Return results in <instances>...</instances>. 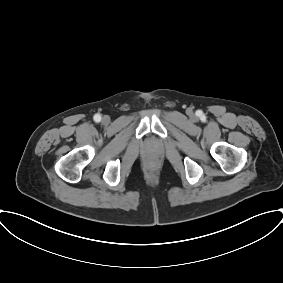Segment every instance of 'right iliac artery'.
<instances>
[{
  "label": "right iliac artery",
  "mask_w": 283,
  "mask_h": 283,
  "mask_svg": "<svg viewBox=\"0 0 283 283\" xmlns=\"http://www.w3.org/2000/svg\"><path fill=\"white\" fill-rule=\"evenodd\" d=\"M94 120H95V122H100L101 116L99 114L94 115Z\"/></svg>",
  "instance_id": "1"
}]
</instances>
